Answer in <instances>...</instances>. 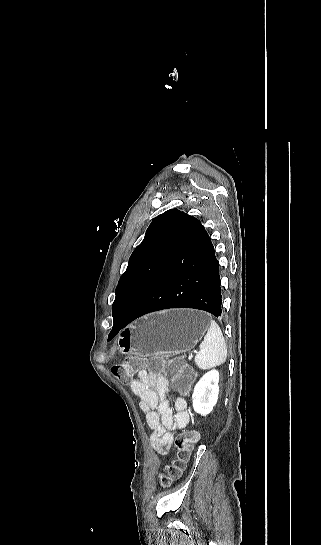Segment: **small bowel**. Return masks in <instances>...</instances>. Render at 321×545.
<instances>
[{
  "label": "small bowel",
  "instance_id": "small-bowel-1",
  "mask_svg": "<svg viewBox=\"0 0 321 545\" xmlns=\"http://www.w3.org/2000/svg\"><path fill=\"white\" fill-rule=\"evenodd\" d=\"M169 379L161 374H151L141 370L138 378L131 382L132 392L140 398V408L146 415L150 429L151 443L154 450L161 455L168 453L171 443V430L186 427L189 422L187 401L177 398L174 411L166 398Z\"/></svg>",
  "mask_w": 321,
  "mask_h": 545
}]
</instances>
